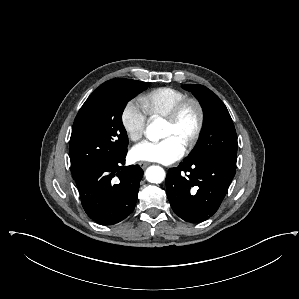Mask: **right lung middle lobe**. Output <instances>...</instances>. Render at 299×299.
<instances>
[{
	"label": "right lung middle lobe",
	"mask_w": 299,
	"mask_h": 299,
	"mask_svg": "<svg viewBox=\"0 0 299 299\" xmlns=\"http://www.w3.org/2000/svg\"><path fill=\"white\" fill-rule=\"evenodd\" d=\"M147 87L146 82L113 79L88 97L75 118L70 138L74 179L127 151L128 137L121 115L127 102Z\"/></svg>",
	"instance_id": "dd1d6c3e"
}]
</instances>
